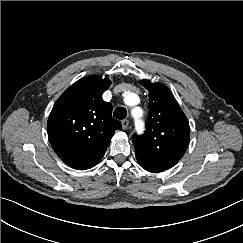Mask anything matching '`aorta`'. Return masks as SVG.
Here are the masks:
<instances>
[{
    "label": "aorta",
    "instance_id": "762f6f07",
    "mask_svg": "<svg viewBox=\"0 0 243 243\" xmlns=\"http://www.w3.org/2000/svg\"><path fill=\"white\" fill-rule=\"evenodd\" d=\"M131 97H132V95H128V96L126 97V102H127V103H129V102H130Z\"/></svg>",
    "mask_w": 243,
    "mask_h": 243
}]
</instances>
